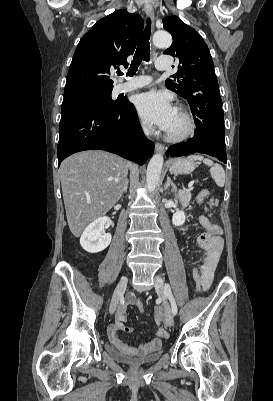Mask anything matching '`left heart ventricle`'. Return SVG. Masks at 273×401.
<instances>
[{"instance_id": "1", "label": "left heart ventricle", "mask_w": 273, "mask_h": 401, "mask_svg": "<svg viewBox=\"0 0 273 401\" xmlns=\"http://www.w3.org/2000/svg\"><path fill=\"white\" fill-rule=\"evenodd\" d=\"M188 128V122L183 115L180 114L179 111L176 110L174 117L172 118L167 132L171 134H181L185 132Z\"/></svg>"}]
</instances>
